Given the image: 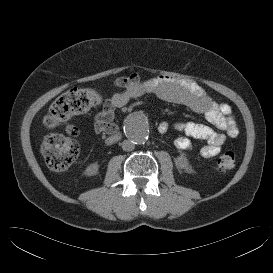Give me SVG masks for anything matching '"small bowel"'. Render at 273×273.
I'll use <instances>...</instances> for the list:
<instances>
[{"instance_id": "c3829d8e", "label": "small bowel", "mask_w": 273, "mask_h": 273, "mask_svg": "<svg viewBox=\"0 0 273 273\" xmlns=\"http://www.w3.org/2000/svg\"><path fill=\"white\" fill-rule=\"evenodd\" d=\"M114 84L121 90L115 93L95 116L94 126L98 132L113 128L112 120L116 109L124 107L133 99L152 95L167 102L184 105L204 115L209 123L225 131L229 137L238 135L236 126L227 117V109L212 101L203 88L192 79L159 75L143 80L137 74H131L116 79ZM171 128L182 134L174 140V145L180 150L191 148V138L205 140L207 144L200 149V154L205 158L216 156L226 139L225 134L196 122H176L171 125L163 121L158 126L160 133H165Z\"/></svg>"}]
</instances>
